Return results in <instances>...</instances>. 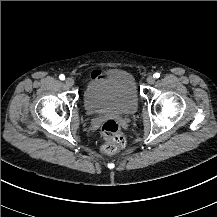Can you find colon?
I'll list each match as a JSON object with an SVG mask.
<instances>
[{
    "label": "colon",
    "instance_id": "obj_1",
    "mask_svg": "<svg viewBox=\"0 0 217 217\" xmlns=\"http://www.w3.org/2000/svg\"><path fill=\"white\" fill-rule=\"evenodd\" d=\"M102 135L107 141L103 151L106 154H113L120 150L124 144V138L120 133V124L116 119H108L102 126Z\"/></svg>",
    "mask_w": 217,
    "mask_h": 217
}]
</instances>
